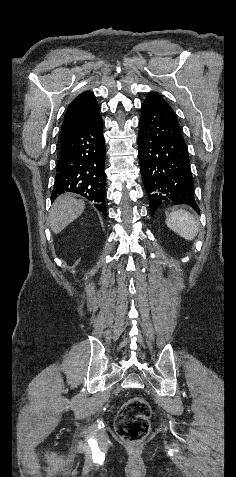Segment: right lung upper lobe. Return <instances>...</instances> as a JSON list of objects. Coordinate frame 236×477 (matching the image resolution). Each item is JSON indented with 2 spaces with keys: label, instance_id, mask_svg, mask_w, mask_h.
<instances>
[{
  "label": "right lung upper lobe",
  "instance_id": "right-lung-upper-lobe-1",
  "mask_svg": "<svg viewBox=\"0 0 236 477\" xmlns=\"http://www.w3.org/2000/svg\"><path fill=\"white\" fill-rule=\"evenodd\" d=\"M100 114L95 96L90 91H84L68 106L62 124L61 142L73 137Z\"/></svg>",
  "mask_w": 236,
  "mask_h": 477
}]
</instances>
